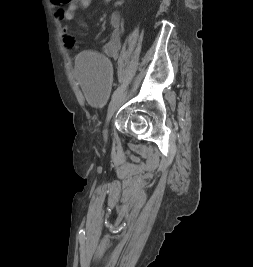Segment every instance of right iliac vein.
Wrapping results in <instances>:
<instances>
[{"label":"right iliac vein","mask_w":253,"mask_h":267,"mask_svg":"<svg viewBox=\"0 0 253 267\" xmlns=\"http://www.w3.org/2000/svg\"><path fill=\"white\" fill-rule=\"evenodd\" d=\"M124 97H125V90L123 89L117 95H115L113 97V99L111 100L109 107H108L105 129L103 130L104 137H106L107 133H108V131H107L108 122L111 119V117L114 115L116 110L118 109V107H119L121 101L124 99Z\"/></svg>","instance_id":"63e3f726"}]
</instances>
